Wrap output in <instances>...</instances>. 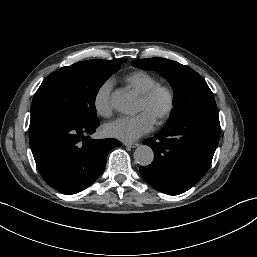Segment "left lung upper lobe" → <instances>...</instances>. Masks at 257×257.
Here are the masks:
<instances>
[{"instance_id":"1","label":"left lung upper lobe","mask_w":257,"mask_h":257,"mask_svg":"<svg viewBox=\"0 0 257 257\" xmlns=\"http://www.w3.org/2000/svg\"><path fill=\"white\" fill-rule=\"evenodd\" d=\"M134 67L156 71L174 89L173 109L166 125L175 123L200 110L216 107L212 91L205 80L193 69L164 58L134 60Z\"/></svg>"}]
</instances>
